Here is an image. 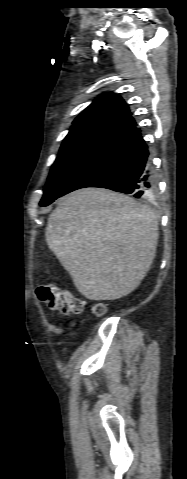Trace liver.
I'll list each match as a JSON object with an SVG mask.
<instances>
[{
  "label": "liver",
  "mask_w": 187,
  "mask_h": 479,
  "mask_svg": "<svg viewBox=\"0 0 187 479\" xmlns=\"http://www.w3.org/2000/svg\"><path fill=\"white\" fill-rule=\"evenodd\" d=\"M45 236L85 298L116 300L134 291L149 271L158 221L129 196L84 188L59 199Z\"/></svg>",
  "instance_id": "6515ba94"
}]
</instances>
